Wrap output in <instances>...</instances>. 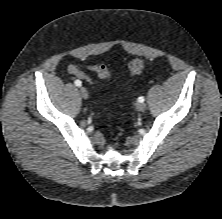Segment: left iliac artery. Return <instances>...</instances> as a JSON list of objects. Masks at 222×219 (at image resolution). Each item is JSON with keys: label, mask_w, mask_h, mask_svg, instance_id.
Listing matches in <instances>:
<instances>
[{"label": "left iliac artery", "mask_w": 222, "mask_h": 219, "mask_svg": "<svg viewBox=\"0 0 222 219\" xmlns=\"http://www.w3.org/2000/svg\"><path fill=\"white\" fill-rule=\"evenodd\" d=\"M144 100H145V98H144L143 96H141V97L138 98V101H139V102H144Z\"/></svg>", "instance_id": "1"}]
</instances>
